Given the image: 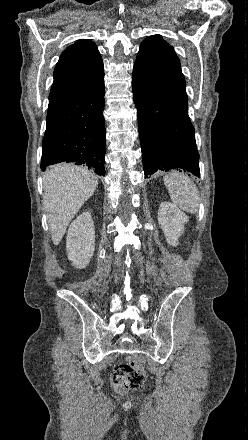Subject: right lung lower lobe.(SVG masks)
Returning a JSON list of instances; mask_svg holds the SVG:
<instances>
[{"label": "right lung lower lobe", "mask_w": 248, "mask_h": 440, "mask_svg": "<svg viewBox=\"0 0 248 440\" xmlns=\"http://www.w3.org/2000/svg\"><path fill=\"white\" fill-rule=\"evenodd\" d=\"M104 80L92 89L49 100L41 170L75 162L105 175Z\"/></svg>", "instance_id": "1"}]
</instances>
